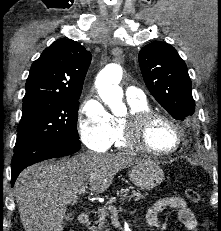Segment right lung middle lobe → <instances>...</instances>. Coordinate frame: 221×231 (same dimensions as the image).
Listing matches in <instances>:
<instances>
[{
  "label": "right lung middle lobe",
  "instance_id": "obj_1",
  "mask_svg": "<svg viewBox=\"0 0 221 231\" xmlns=\"http://www.w3.org/2000/svg\"><path fill=\"white\" fill-rule=\"evenodd\" d=\"M78 100L79 97H45L23 101L14 152L42 140L78 142Z\"/></svg>",
  "mask_w": 221,
  "mask_h": 231
}]
</instances>
